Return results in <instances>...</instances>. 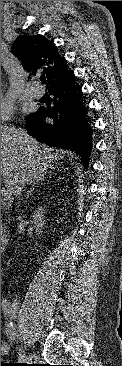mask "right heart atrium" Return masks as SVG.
Instances as JSON below:
<instances>
[{
	"instance_id": "d8ad5b80",
	"label": "right heart atrium",
	"mask_w": 122,
	"mask_h": 366,
	"mask_svg": "<svg viewBox=\"0 0 122 366\" xmlns=\"http://www.w3.org/2000/svg\"><path fill=\"white\" fill-rule=\"evenodd\" d=\"M14 103L10 98H7L1 93V124L8 121L14 114Z\"/></svg>"
}]
</instances>
